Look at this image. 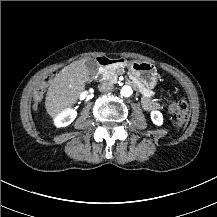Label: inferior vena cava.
<instances>
[{"label":"inferior vena cava","instance_id":"obj_1","mask_svg":"<svg viewBox=\"0 0 217 217\" xmlns=\"http://www.w3.org/2000/svg\"><path fill=\"white\" fill-rule=\"evenodd\" d=\"M98 89H99L100 92L108 93L113 89V86L108 81H102L98 85Z\"/></svg>","mask_w":217,"mask_h":217}]
</instances>
